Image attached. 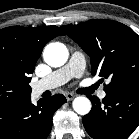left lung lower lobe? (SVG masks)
Returning a JSON list of instances; mask_svg holds the SVG:
<instances>
[{"mask_svg":"<svg viewBox=\"0 0 139 139\" xmlns=\"http://www.w3.org/2000/svg\"><path fill=\"white\" fill-rule=\"evenodd\" d=\"M88 97L92 109L83 117V125L92 138L126 139L139 125V85L106 94L102 102Z\"/></svg>","mask_w":139,"mask_h":139,"instance_id":"obj_1","label":"left lung lower lobe"}]
</instances>
